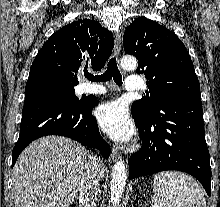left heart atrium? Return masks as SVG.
I'll use <instances>...</instances> for the list:
<instances>
[{
	"label": "left heart atrium",
	"mask_w": 220,
	"mask_h": 207,
	"mask_svg": "<svg viewBox=\"0 0 220 207\" xmlns=\"http://www.w3.org/2000/svg\"><path fill=\"white\" fill-rule=\"evenodd\" d=\"M96 118L101 129L115 141H128L134 133V125L127 108L120 101L108 102L99 106Z\"/></svg>",
	"instance_id": "obj_1"
}]
</instances>
